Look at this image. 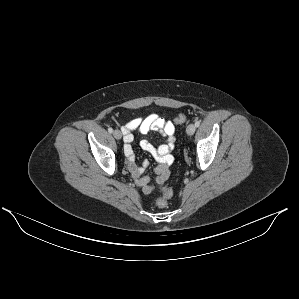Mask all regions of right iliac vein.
<instances>
[{"label":"right iliac vein","mask_w":299,"mask_h":299,"mask_svg":"<svg viewBox=\"0 0 299 299\" xmlns=\"http://www.w3.org/2000/svg\"><path fill=\"white\" fill-rule=\"evenodd\" d=\"M113 135H114V137H115L117 140H120L121 137H122V134H121V132H120L119 130H115V131L113 132Z\"/></svg>","instance_id":"right-iliac-vein-1"}]
</instances>
